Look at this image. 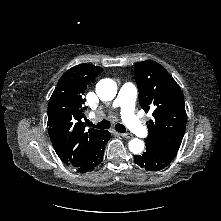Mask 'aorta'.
Returning <instances> with one entry per match:
<instances>
[{
  "label": "aorta",
  "mask_w": 221,
  "mask_h": 221,
  "mask_svg": "<svg viewBox=\"0 0 221 221\" xmlns=\"http://www.w3.org/2000/svg\"><path fill=\"white\" fill-rule=\"evenodd\" d=\"M96 94L102 101H111L117 94V84L112 79H102L96 85ZM128 146L133 154H139L144 149V142L134 138Z\"/></svg>",
  "instance_id": "762f6f07"
}]
</instances>
